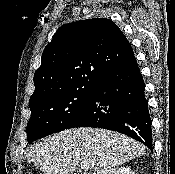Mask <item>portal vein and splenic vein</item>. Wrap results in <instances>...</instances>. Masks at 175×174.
Segmentation results:
<instances>
[{"label": "portal vein and splenic vein", "mask_w": 175, "mask_h": 174, "mask_svg": "<svg viewBox=\"0 0 175 174\" xmlns=\"http://www.w3.org/2000/svg\"><path fill=\"white\" fill-rule=\"evenodd\" d=\"M84 166H85V167H87V166H88V164L84 163Z\"/></svg>", "instance_id": "1"}]
</instances>
